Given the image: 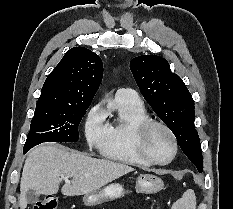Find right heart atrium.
Returning <instances> with one entry per match:
<instances>
[{"instance_id":"d8ad5b80","label":"right heart atrium","mask_w":233,"mask_h":209,"mask_svg":"<svg viewBox=\"0 0 233 209\" xmlns=\"http://www.w3.org/2000/svg\"><path fill=\"white\" fill-rule=\"evenodd\" d=\"M85 138L90 147H100L107 136L104 113L99 105L89 109L84 124Z\"/></svg>"}]
</instances>
